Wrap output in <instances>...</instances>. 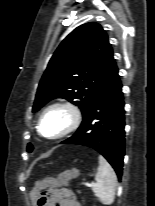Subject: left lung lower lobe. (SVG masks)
I'll return each instance as SVG.
<instances>
[{
    "label": "left lung lower lobe",
    "mask_w": 155,
    "mask_h": 206,
    "mask_svg": "<svg viewBox=\"0 0 155 206\" xmlns=\"http://www.w3.org/2000/svg\"><path fill=\"white\" fill-rule=\"evenodd\" d=\"M122 84L117 72L92 100L76 133L61 144L88 146L103 155L122 176L125 121Z\"/></svg>",
    "instance_id": "left-lung-lower-lobe-1"
}]
</instances>
